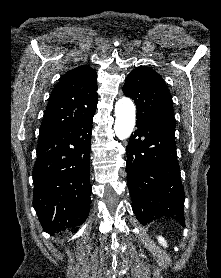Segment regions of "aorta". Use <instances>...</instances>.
<instances>
[{"instance_id": "762f6f07", "label": "aorta", "mask_w": 221, "mask_h": 278, "mask_svg": "<svg viewBox=\"0 0 221 278\" xmlns=\"http://www.w3.org/2000/svg\"><path fill=\"white\" fill-rule=\"evenodd\" d=\"M114 131L120 140L127 139L133 132L135 125V106L129 98H121L115 105Z\"/></svg>"}]
</instances>
